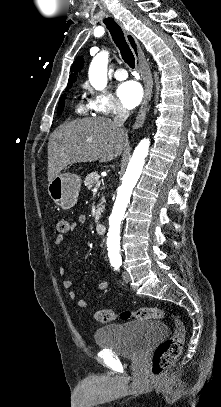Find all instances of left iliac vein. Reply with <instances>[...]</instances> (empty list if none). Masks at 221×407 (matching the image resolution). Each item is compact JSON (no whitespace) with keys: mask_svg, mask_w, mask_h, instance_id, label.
<instances>
[{"mask_svg":"<svg viewBox=\"0 0 221 407\" xmlns=\"http://www.w3.org/2000/svg\"><path fill=\"white\" fill-rule=\"evenodd\" d=\"M122 279L125 283H129L131 280L129 273L124 271L122 274Z\"/></svg>","mask_w":221,"mask_h":407,"instance_id":"4c4485c4","label":"left iliac vein"}]
</instances>
